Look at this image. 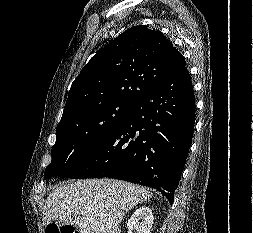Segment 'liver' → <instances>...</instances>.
<instances>
[{
	"label": "liver",
	"mask_w": 253,
	"mask_h": 233,
	"mask_svg": "<svg viewBox=\"0 0 253 233\" xmlns=\"http://www.w3.org/2000/svg\"><path fill=\"white\" fill-rule=\"evenodd\" d=\"M149 188L113 179H86L56 187L43 208V224L78 227L80 233H120L124 215L149 199Z\"/></svg>",
	"instance_id": "1"
}]
</instances>
